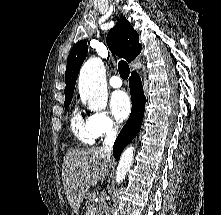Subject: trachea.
I'll return each mask as SVG.
<instances>
[{"label":"trachea","instance_id":"1","mask_svg":"<svg viewBox=\"0 0 221 215\" xmlns=\"http://www.w3.org/2000/svg\"><path fill=\"white\" fill-rule=\"evenodd\" d=\"M118 68H119V74L123 79H127L129 76V65L127 64L126 61L121 60L118 64Z\"/></svg>","mask_w":221,"mask_h":215}]
</instances>
